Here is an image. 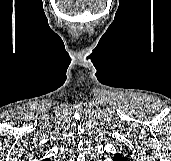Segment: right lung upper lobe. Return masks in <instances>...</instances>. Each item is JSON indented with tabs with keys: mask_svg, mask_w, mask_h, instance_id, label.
<instances>
[{
	"mask_svg": "<svg viewBox=\"0 0 171 161\" xmlns=\"http://www.w3.org/2000/svg\"><path fill=\"white\" fill-rule=\"evenodd\" d=\"M42 161H50V159L47 158V159H44V160H42Z\"/></svg>",
	"mask_w": 171,
	"mask_h": 161,
	"instance_id": "right-lung-upper-lobe-1",
	"label": "right lung upper lobe"
}]
</instances>
